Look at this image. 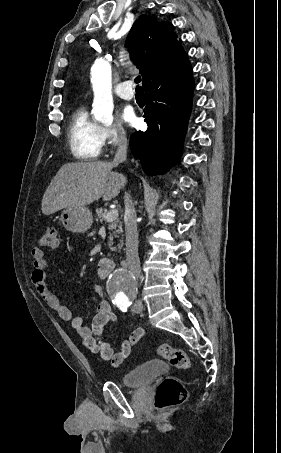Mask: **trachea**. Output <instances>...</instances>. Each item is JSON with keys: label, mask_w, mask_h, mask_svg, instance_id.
<instances>
[{"label": "trachea", "mask_w": 281, "mask_h": 453, "mask_svg": "<svg viewBox=\"0 0 281 453\" xmlns=\"http://www.w3.org/2000/svg\"><path fill=\"white\" fill-rule=\"evenodd\" d=\"M134 82L136 83V97H143L144 96V92H143V89L142 87H139V83L141 82V77L140 75L138 77L135 78Z\"/></svg>", "instance_id": "trachea-1"}]
</instances>
